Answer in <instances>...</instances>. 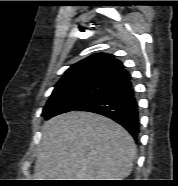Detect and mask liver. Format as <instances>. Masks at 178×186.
<instances>
[{
  "label": "liver",
  "mask_w": 178,
  "mask_h": 186,
  "mask_svg": "<svg viewBox=\"0 0 178 186\" xmlns=\"http://www.w3.org/2000/svg\"><path fill=\"white\" fill-rule=\"evenodd\" d=\"M137 148L111 119L72 111L43 124L35 180H122L130 175Z\"/></svg>",
  "instance_id": "6515ba94"
}]
</instances>
